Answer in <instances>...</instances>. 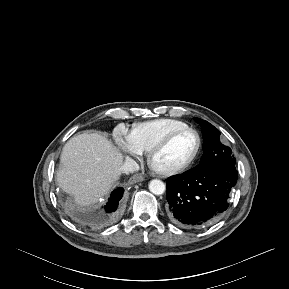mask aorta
<instances>
[{"label": "aorta", "mask_w": 289, "mask_h": 289, "mask_svg": "<svg viewBox=\"0 0 289 289\" xmlns=\"http://www.w3.org/2000/svg\"><path fill=\"white\" fill-rule=\"evenodd\" d=\"M165 184L163 181L154 179L149 183V190L155 195H162L165 192Z\"/></svg>", "instance_id": "obj_1"}]
</instances>
